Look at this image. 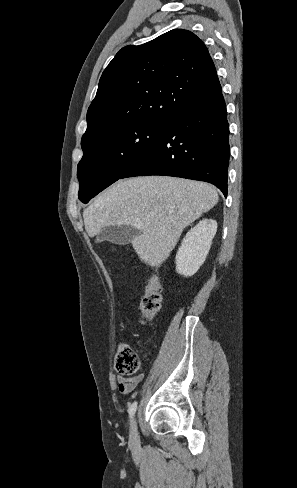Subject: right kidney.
Here are the masks:
<instances>
[{
  "label": "right kidney",
  "instance_id": "1",
  "mask_svg": "<svg viewBox=\"0 0 297 488\" xmlns=\"http://www.w3.org/2000/svg\"><path fill=\"white\" fill-rule=\"evenodd\" d=\"M217 231V222L204 219L183 238L176 254V270L183 276H192L204 263Z\"/></svg>",
  "mask_w": 297,
  "mask_h": 488
}]
</instances>
